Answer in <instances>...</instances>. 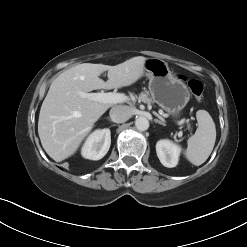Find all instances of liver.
<instances>
[{"mask_svg": "<svg viewBox=\"0 0 247 247\" xmlns=\"http://www.w3.org/2000/svg\"><path fill=\"white\" fill-rule=\"evenodd\" d=\"M146 59L133 57L115 66L83 63L52 82L40 109L38 134L53 160L60 162L72 156L95 122L113 106L83 98L79 92L130 86L144 75ZM105 71L106 82L99 77Z\"/></svg>", "mask_w": 247, "mask_h": 247, "instance_id": "liver-1", "label": "liver"}]
</instances>
